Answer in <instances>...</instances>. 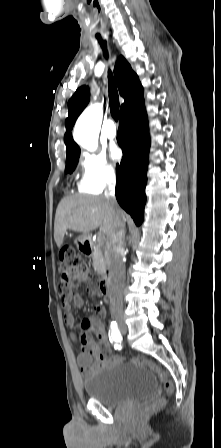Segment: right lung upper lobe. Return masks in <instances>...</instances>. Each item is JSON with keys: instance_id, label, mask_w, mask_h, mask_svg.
I'll use <instances>...</instances> for the list:
<instances>
[{"instance_id": "1", "label": "right lung upper lobe", "mask_w": 221, "mask_h": 448, "mask_svg": "<svg viewBox=\"0 0 221 448\" xmlns=\"http://www.w3.org/2000/svg\"><path fill=\"white\" fill-rule=\"evenodd\" d=\"M114 74L119 88L120 95L124 98L120 112L131 107L143 98V87L138 80V76L131 69L129 63L123 56H120L114 67ZM88 87H80L68 101V117L66 118V133L64 142L67 147V156L80 153L79 146L73 141L71 128L77 117L89 102Z\"/></svg>"}]
</instances>
